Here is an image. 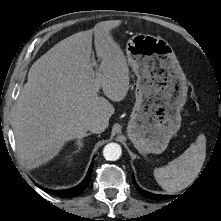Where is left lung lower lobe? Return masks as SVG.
Here are the masks:
<instances>
[{
	"label": "left lung lower lobe",
	"instance_id": "1",
	"mask_svg": "<svg viewBox=\"0 0 221 221\" xmlns=\"http://www.w3.org/2000/svg\"><path fill=\"white\" fill-rule=\"evenodd\" d=\"M133 184L135 185V187L137 188V190L146 198L152 199V200H163V199H168L170 197L173 196H166V195H157V194H153L150 192H147L145 190H142L136 183L134 177L132 178Z\"/></svg>",
	"mask_w": 221,
	"mask_h": 221
}]
</instances>
